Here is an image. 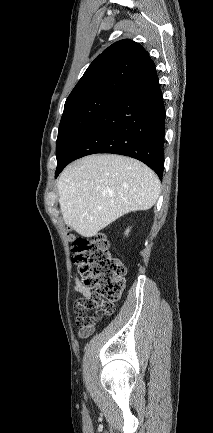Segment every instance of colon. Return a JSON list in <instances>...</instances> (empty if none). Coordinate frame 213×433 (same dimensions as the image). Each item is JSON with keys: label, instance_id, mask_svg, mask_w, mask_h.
<instances>
[{"label": "colon", "instance_id": "colon-1", "mask_svg": "<svg viewBox=\"0 0 213 433\" xmlns=\"http://www.w3.org/2000/svg\"><path fill=\"white\" fill-rule=\"evenodd\" d=\"M71 246L83 285L91 292V299L80 301L76 308V322L85 329L114 312L125 287L126 269L112 255L102 233L92 238L71 237Z\"/></svg>", "mask_w": 213, "mask_h": 433}]
</instances>
